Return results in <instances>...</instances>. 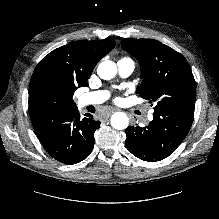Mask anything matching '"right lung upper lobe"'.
I'll return each instance as SVG.
<instances>
[{"label":"right lung upper lobe","instance_id":"right-lung-upper-lobe-1","mask_svg":"<svg viewBox=\"0 0 219 219\" xmlns=\"http://www.w3.org/2000/svg\"><path fill=\"white\" fill-rule=\"evenodd\" d=\"M113 39L74 41L45 56L36 66L29 85L30 114L42 110L37 97L40 91L53 94L69 111L76 109L74 92L87 85L98 61L114 46Z\"/></svg>","mask_w":219,"mask_h":219}]
</instances>
